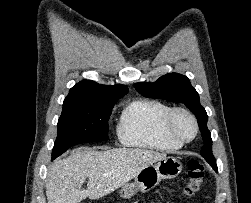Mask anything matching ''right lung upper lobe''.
I'll return each mask as SVG.
<instances>
[{
  "label": "right lung upper lobe",
  "instance_id": "cb5924a9",
  "mask_svg": "<svg viewBox=\"0 0 251 203\" xmlns=\"http://www.w3.org/2000/svg\"><path fill=\"white\" fill-rule=\"evenodd\" d=\"M127 93L128 88L124 85L107 86L94 81L83 80L70 89L63 105L116 102Z\"/></svg>",
  "mask_w": 251,
  "mask_h": 203
}]
</instances>
